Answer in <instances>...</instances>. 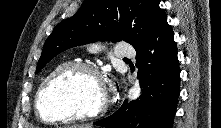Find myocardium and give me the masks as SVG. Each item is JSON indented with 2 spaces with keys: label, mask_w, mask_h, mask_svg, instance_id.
Here are the masks:
<instances>
[{
  "label": "myocardium",
  "mask_w": 221,
  "mask_h": 128,
  "mask_svg": "<svg viewBox=\"0 0 221 128\" xmlns=\"http://www.w3.org/2000/svg\"><path fill=\"white\" fill-rule=\"evenodd\" d=\"M86 71L90 74H92L98 83L100 84L102 91H103V97L101 100L100 105L95 109H88L81 113H78L76 115H67V116H49L44 113L42 109V101L44 98V94L48 87L55 82L56 80H59L70 73L74 71ZM108 108V96L107 91L104 85L103 78L100 74V72L92 65L86 62L82 61H73L69 62L65 65H63L61 68L50 74L45 78V80L41 83V85L38 88L36 98H35V112L37 117L47 123H69V122H76L80 120L85 119H95L97 117L102 116Z\"/></svg>",
  "instance_id": "obj_1"
}]
</instances>
